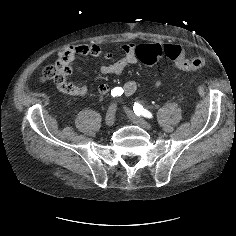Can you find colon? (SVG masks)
<instances>
[{
	"label": "colon",
	"mask_w": 236,
	"mask_h": 236,
	"mask_svg": "<svg viewBox=\"0 0 236 236\" xmlns=\"http://www.w3.org/2000/svg\"><path fill=\"white\" fill-rule=\"evenodd\" d=\"M163 55L170 59L177 68L184 71H197L206 66V60L203 56L189 58L184 49L177 44H164L162 47L141 44L136 49L137 59L147 66L155 65ZM70 67V58L61 52L57 61L44 69L43 80L62 82L67 78Z\"/></svg>",
	"instance_id": "obj_1"
}]
</instances>
